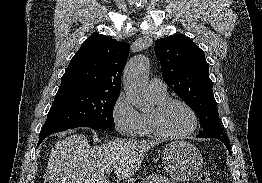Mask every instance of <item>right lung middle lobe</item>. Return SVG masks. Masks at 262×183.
I'll list each match as a JSON object with an SVG mask.
<instances>
[{
    "label": "right lung middle lobe",
    "instance_id": "1",
    "mask_svg": "<svg viewBox=\"0 0 262 183\" xmlns=\"http://www.w3.org/2000/svg\"><path fill=\"white\" fill-rule=\"evenodd\" d=\"M119 93L72 90L57 93L42 131L89 126L97 129L115 125L113 108Z\"/></svg>",
    "mask_w": 262,
    "mask_h": 183
}]
</instances>
